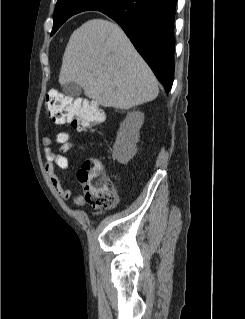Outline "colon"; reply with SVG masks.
Masks as SVG:
<instances>
[{
    "instance_id": "1",
    "label": "colon",
    "mask_w": 245,
    "mask_h": 319,
    "mask_svg": "<svg viewBox=\"0 0 245 319\" xmlns=\"http://www.w3.org/2000/svg\"><path fill=\"white\" fill-rule=\"evenodd\" d=\"M49 116L60 123H70L78 131H87L104 121V113L89 101L64 96L51 91L46 97ZM78 180L86 201L96 208L109 209L115 206L117 190L107 177L101 162L90 158L84 161Z\"/></svg>"
}]
</instances>
